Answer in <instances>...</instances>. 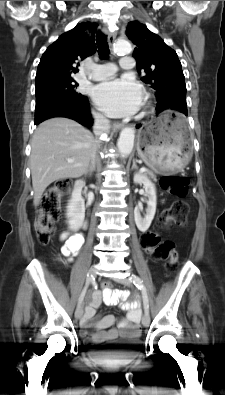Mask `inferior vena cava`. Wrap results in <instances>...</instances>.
Here are the masks:
<instances>
[{"mask_svg": "<svg viewBox=\"0 0 225 395\" xmlns=\"http://www.w3.org/2000/svg\"><path fill=\"white\" fill-rule=\"evenodd\" d=\"M94 126L93 130L96 135V137H99L101 134L109 132L110 129V121L103 116L102 114L99 113H94ZM99 141H95V146L91 155V163L95 164V158H96V150L98 147Z\"/></svg>", "mask_w": 225, "mask_h": 395, "instance_id": "602c4592", "label": "inferior vena cava"}]
</instances>
